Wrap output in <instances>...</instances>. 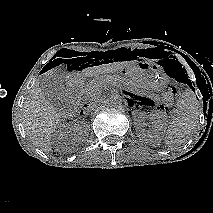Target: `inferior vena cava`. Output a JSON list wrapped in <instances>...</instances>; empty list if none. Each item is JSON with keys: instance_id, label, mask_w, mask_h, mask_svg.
<instances>
[{"instance_id": "602c4592", "label": "inferior vena cava", "mask_w": 213, "mask_h": 213, "mask_svg": "<svg viewBox=\"0 0 213 213\" xmlns=\"http://www.w3.org/2000/svg\"><path fill=\"white\" fill-rule=\"evenodd\" d=\"M91 110V108H88V111H90Z\"/></svg>"}]
</instances>
